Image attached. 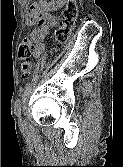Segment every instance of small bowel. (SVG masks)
<instances>
[{
    "label": "small bowel",
    "mask_w": 123,
    "mask_h": 167,
    "mask_svg": "<svg viewBox=\"0 0 123 167\" xmlns=\"http://www.w3.org/2000/svg\"><path fill=\"white\" fill-rule=\"evenodd\" d=\"M63 1L65 0H56V2ZM26 22L29 25L37 24V26L30 32L29 38L34 44L32 56L41 58L45 52L44 39L48 35L50 29L56 26V19L48 13L43 5L35 4L33 5L31 12L27 15Z\"/></svg>",
    "instance_id": "obj_1"
}]
</instances>
